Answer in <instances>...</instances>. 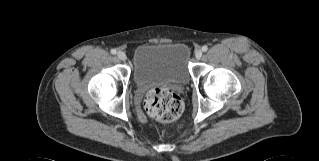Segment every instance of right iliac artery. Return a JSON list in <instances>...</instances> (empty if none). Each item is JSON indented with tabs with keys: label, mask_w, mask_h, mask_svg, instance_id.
<instances>
[{
	"label": "right iliac artery",
	"mask_w": 319,
	"mask_h": 161,
	"mask_svg": "<svg viewBox=\"0 0 319 161\" xmlns=\"http://www.w3.org/2000/svg\"><path fill=\"white\" fill-rule=\"evenodd\" d=\"M117 53L116 49L111 50V54L115 55Z\"/></svg>",
	"instance_id": "82829eb1"
}]
</instances>
